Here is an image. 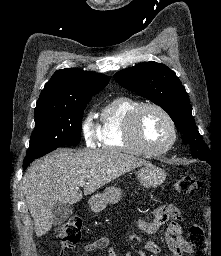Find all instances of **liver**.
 Listing matches in <instances>:
<instances>
[{
  "mask_svg": "<svg viewBox=\"0 0 221 256\" xmlns=\"http://www.w3.org/2000/svg\"><path fill=\"white\" fill-rule=\"evenodd\" d=\"M149 162L115 150L73 152L59 149L34 161L25 173L21 190L34 219L37 237L53 224L55 203L75 204L83 197L79 188L85 182L84 195Z\"/></svg>",
  "mask_w": 221,
  "mask_h": 256,
  "instance_id": "liver-1",
  "label": "liver"
}]
</instances>
